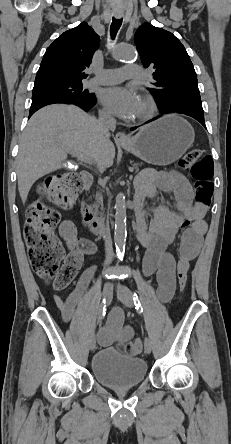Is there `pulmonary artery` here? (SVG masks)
I'll return each mask as SVG.
<instances>
[{
    "label": "pulmonary artery",
    "mask_w": 231,
    "mask_h": 444,
    "mask_svg": "<svg viewBox=\"0 0 231 444\" xmlns=\"http://www.w3.org/2000/svg\"><path fill=\"white\" fill-rule=\"evenodd\" d=\"M142 70L136 65H125L119 69H104L96 71L94 77L90 80V85H109L116 84L124 79H140Z\"/></svg>",
    "instance_id": "1"
}]
</instances>
